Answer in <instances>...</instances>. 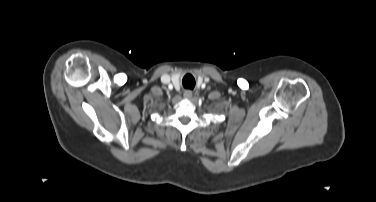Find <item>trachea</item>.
I'll return each instance as SVG.
<instances>
[{"mask_svg": "<svg viewBox=\"0 0 376 202\" xmlns=\"http://www.w3.org/2000/svg\"><path fill=\"white\" fill-rule=\"evenodd\" d=\"M183 85L187 89H193L195 87V79L191 75H187L183 80Z\"/></svg>", "mask_w": 376, "mask_h": 202, "instance_id": "1", "label": "trachea"}]
</instances>
